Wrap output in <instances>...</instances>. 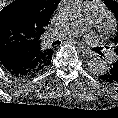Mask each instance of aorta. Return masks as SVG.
Returning <instances> with one entry per match:
<instances>
[{
  "label": "aorta",
  "instance_id": "obj_1",
  "mask_svg": "<svg viewBox=\"0 0 118 118\" xmlns=\"http://www.w3.org/2000/svg\"><path fill=\"white\" fill-rule=\"evenodd\" d=\"M60 14L64 19L75 20L81 14L79 0H64L59 8ZM89 71L96 75H101L107 70V64L100 58H93L88 62Z\"/></svg>",
  "mask_w": 118,
  "mask_h": 118
}]
</instances>
